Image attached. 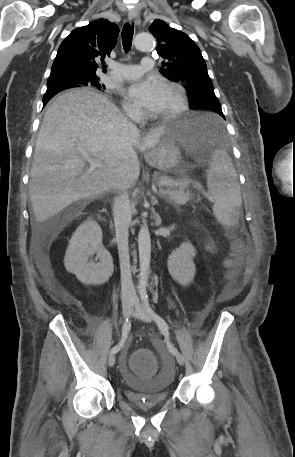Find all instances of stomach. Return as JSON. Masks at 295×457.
I'll return each mask as SVG.
<instances>
[{"label":"stomach","mask_w":295,"mask_h":457,"mask_svg":"<svg viewBox=\"0 0 295 457\" xmlns=\"http://www.w3.org/2000/svg\"><path fill=\"white\" fill-rule=\"evenodd\" d=\"M207 122L201 116L191 115L164 126L157 145L145 154L147 163L160 171L177 172L182 167L180 148L193 149L211 144Z\"/></svg>","instance_id":"stomach-1"}]
</instances>
